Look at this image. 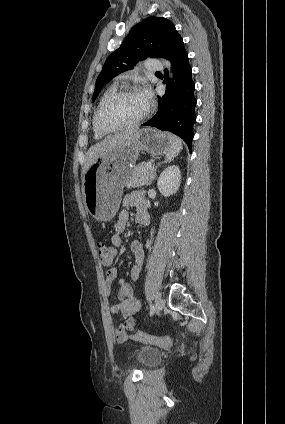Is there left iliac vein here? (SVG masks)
<instances>
[{
  "label": "left iliac vein",
  "mask_w": 285,
  "mask_h": 424,
  "mask_svg": "<svg viewBox=\"0 0 285 424\" xmlns=\"http://www.w3.org/2000/svg\"><path fill=\"white\" fill-rule=\"evenodd\" d=\"M164 307V300L160 295L156 296V313L159 314V312L163 309Z\"/></svg>",
  "instance_id": "left-iliac-vein-1"
}]
</instances>
